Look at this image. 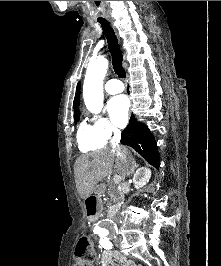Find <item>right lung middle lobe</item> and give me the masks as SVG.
Wrapping results in <instances>:
<instances>
[{"label":"right lung middle lobe","mask_w":221,"mask_h":266,"mask_svg":"<svg viewBox=\"0 0 221 266\" xmlns=\"http://www.w3.org/2000/svg\"><path fill=\"white\" fill-rule=\"evenodd\" d=\"M74 118H75V121L78 122L79 121V118H80V114L74 115Z\"/></svg>","instance_id":"obj_1"}]
</instances>
